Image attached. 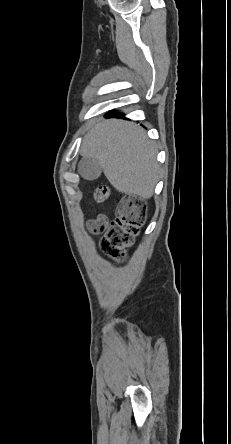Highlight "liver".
Wrapping results in <instances>:
<instances>
[{
  "label": "liver",
  "mask_w": 231,
  "mask_h": 444,
  "mask_svg": "<svg viewBox=\"0 0 231 444\" xmlns=\"http://www.w3.org/2000/svg\"><path fill=\"white\" fill-rule=\"evenodd\" d=\"M80 153L98 160L118 192L152 197L160 176L157 151L137 124L122 120L98 123L85 136Z\"/></svg>",
  "instance_id": "liver-1"
}]
</instances>
